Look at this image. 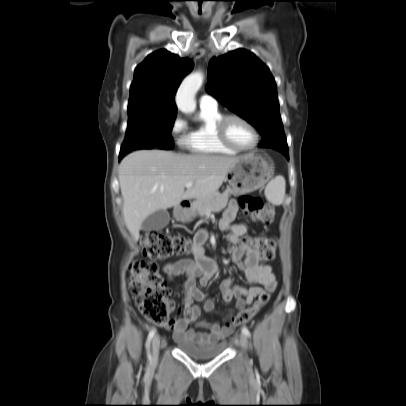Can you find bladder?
Wrapping results in <instances>:
<instances>
[{
  "mask_svg": "<svg viewBox=\"0 0 406 406\" xmlns=\"http://www.w3.org/2000/svg\"><path fill=\"white\" fill-rule=\"evenodd\" d=\"M179 350L187 356L197 360H208L218 356L224 349L223 345L210 344H194L184 341L177 342Z\"/></svg>",
  "mask_w": 406,
  "mask_h": 406,
  "instance_id": "bladder-1",
  "label": "bladder"
}]
</instances>
